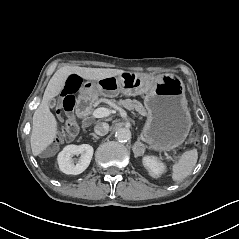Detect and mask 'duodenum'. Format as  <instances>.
Masks as SVG:
<instances>
[{
  "label": "duodenum",
  "mask_w": 239,
  "mask_h": 239,
  "mask_svg": "<svg viewBox=\"0 0 239 239\" xmlns=\"http://www.w3.org/2000/svg\"><path fill=\"white\" fill-rule=\"evenodd\" d=\"M92 103L89 97L83 96L81 97L76 106V112L78 116L81 118L84 127L87 126L89 117L91 114Z\"/></svg>",
  "instance_id": "1"
}]
</instances>
